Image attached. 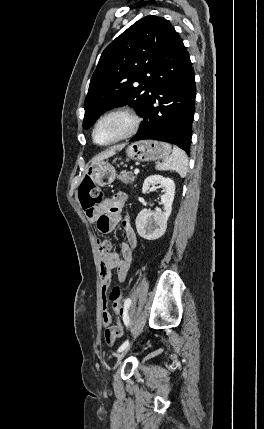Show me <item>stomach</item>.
Wrapping results in <instances>:
<instances>
[{
    "mask_svg": "<svg viewBox=\"0 0 264 429\" xmlns=\"http://www.w3.org/2000/svg\"><path fill=\"white\" fill-rule=\"evenodd\" d=\"M171 152L170 144L156 140H142L130 144L126 148L129 158L138 161H156L165 159ZM86 176L98 185H107L114 181L116 172L107 161H99L91 164L86 171Z\"/></svg>",
    "mask_w": 264,
    "mask_h": 429,
    "instance_id": "obj_1",
    "label": "stomach"
}]
</instances>
